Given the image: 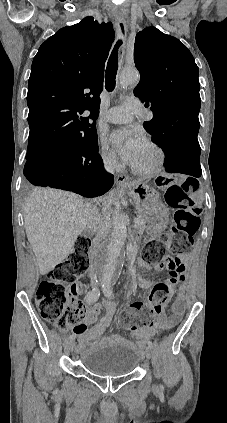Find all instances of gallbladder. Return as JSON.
Returning a JSON list of instances; mask_svg holds the SVG:
<instances>
[{"mask_svg":"<svg viewBox=\"0 0 227 423\" xmlns=\"http://www.w3.org/2000/svg\"><path fill=\"white\" fill-rule=\"evenodd\" d=\"M26 184H27V182H26ZM27 186H29V184H27ZM87 233H88V231H87ZM83 235H86V233H83Z\"/></svg>","mask_w":227,"mask_h":423,"instance_id":"gallbladder-1","label":"gallbladder"}]
</instances>
